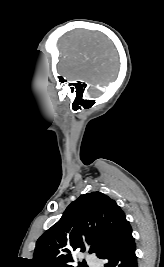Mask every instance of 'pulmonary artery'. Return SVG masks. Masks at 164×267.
I'll return each mask as SVG.
<instances>
[{
	"instance_id": "obj_1",
	"label": "pulmonary artery",
	"mask_w": 164,
	"mask_h": 267,
	"mask_svg": "<svg viewBox=\"0 0 164 267\" xmlns=\"http://www.w3.org/2000/svg\"><path fill=\"white\" fill-rule=\"evenodd\" d=\"M88 263L92 266V267H99L98 262L95 259H88Z\"/></svg>"
}]
</instances>
